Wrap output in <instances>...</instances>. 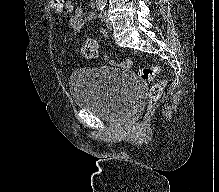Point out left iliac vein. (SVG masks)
Masks as SVG:
<instances>
[{
	"label": "left iliac vein",
	"instance_id": "4c4485c4",
	"mask_svg": "<svg viewBox=\"0 0 219 192\" xmlns=\"http://www.w3.org/2000/svg\"><path fill=\"white\" fill-rule=\"evenodd\" d=\"M103 22H104V25L108 28V29H112L113 28V25H112V22L109 20L108 16L106 13L103 14Z\"/></svg>",
	"mask_w": 219,
	"mask_h": 192
}]
</instances>
